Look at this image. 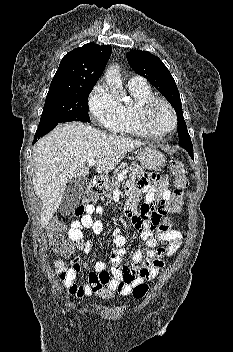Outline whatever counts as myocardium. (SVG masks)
Returning <instances> with one entry per match:
<instances>
[{"instance_id":"myocardium-1","label":"myocardium","mask_w":233,"mask_h":352,"mask_svg":"<svg viewBox=\"0 0 233 352\" xmlns=\"http://www.w3.org/2000/svg\"><path fill=\"white\" fill-rule=\"evenodd\" d=\"M156 104L164 105L168 109L172 117V126L168 130L160 133L153 131L149 124V115H150L151 109ZM136 117H137V123L140 129L147 137H150V138L165 137L168 134L172 133L177 127V115L174 108L167 100L161 97L153 96L143 101L137 108Z\"/></svg>"}]
</instances>
